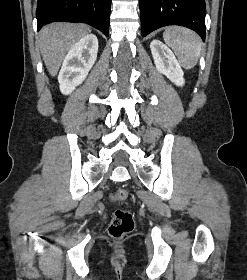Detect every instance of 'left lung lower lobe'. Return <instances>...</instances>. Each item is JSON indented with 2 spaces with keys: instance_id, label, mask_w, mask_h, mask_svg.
<instances>
[{
  "instance_id": "obj_1",
  "label": "left lung lower lobe",
  "mask_w": 247,
  "mask_h": 280,
  "mask_svg": "<svg viewBox=\"0 0 247 280\" xmlns=\"http://www.w3.org/2000/svg\"><path fill=\"white\" fill-rule=\"evenodd\" d=\"M142 36L167 25H180L205 40L204 0H139Z\"/></svg>"
}]
</instances>
